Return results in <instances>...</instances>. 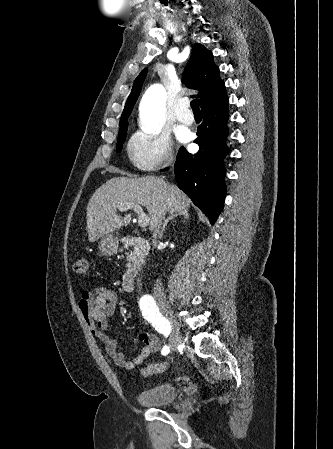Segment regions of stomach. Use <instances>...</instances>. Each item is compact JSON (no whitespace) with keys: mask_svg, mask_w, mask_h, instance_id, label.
<instances>
[{"mask_svg":"<svg viewBox=\"0 0 333 449\" xmlns=\"http://www.w3.org/2000/svg\"><path fill=\"white\" fill-rule=\"evenodd\" d=\"M99 250L103 256H112L118 250V240L112 235L104 236L99 242Z\"/></svg>","mask_w":333,"mask_h":449,"instance_id":"stomach-1","label":"stomach"}]
</instances>
